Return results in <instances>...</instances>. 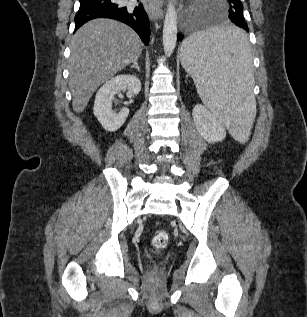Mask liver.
Here are the masks:
<instances>
[{
    "mask_svg": "<svg viewBox=\"0 0 307 317\" xmlns=\"http://www.w3.org/2000/svg\"><path fill=\"white\" fill-rule=\"evenodd\" d=\"M70 50L72 107L80 113L102 83L140 56L142 42L136 32L123 23L95 19L74 34Z\"/></svg>",
    "mask_w": 307,
    "mask_h": 317,
    "instance_id": "liver-1",
    "label": "liver"
}]
</instances>
